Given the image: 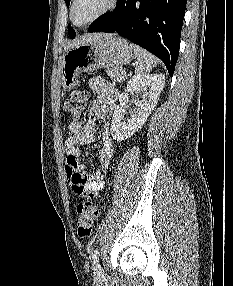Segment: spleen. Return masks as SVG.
Listing matches in <instances>:
<instances>
[{
  "label": "spleen",
  "mask_w": 233,
  "mask_h": 286,
  "mask_svg": "<svg viewBox=\"0 0 233 286\" xmlns=\"http://www.w3.org/2000/svg\"><path fill=\"white\" fill-rule=\"evenodd\" d=\"M132 50L137 59L135 71L138 75H146L148 72L151 71L153 67H155L158 63L157 59L149 53L147 50L143 49L142 47L131 43L130 44Z\"/></svg>",
  "instance_id": "1"
}]
</instances>
